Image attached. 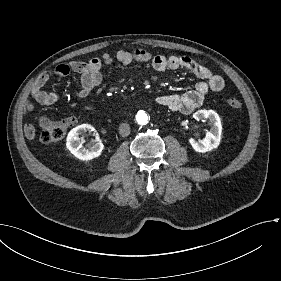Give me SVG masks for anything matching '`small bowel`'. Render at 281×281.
<instances>
[{
	"instance_id": "obj_1",
	"label": "small bowel",
	"mask_w": 281,
	"mask_h": 281,
	"mask_svg": "<svg viewBox=\"0 0 281 281\" xmlns=\"http://www.w3.org/2000/svg\"><path fill=\"white\" fill-rule=\"evenodd\" d=\"M115 61L123 65H129L134 62L148 63L157 72L186 69L193 73L199 80L195 83L192 90L183 94H160L156 97L157 104L173 112L191 113L203 103L209 92H220L225 86V81L221 75L198 64L187 56L167 57L153 55L142 49L134 51L122 49L115 55L105 53L101 57L93 58L87 62L72 61L69 65L61 64L56 67L55 74L65 77L70 72L77 73L81 78V88L76 93V97L86 98L101 83L103 66L111 65ZM50 77V72L41 74L31 90L32 98L42 105H52L60 99L58 93L44 89ZM33 110V101L29 100L25 105V116H29ZM41 124L42 126H47L50 124V121L43 119ZM33 130L34 127L31 124H26L23 133L24 138L27 140L33 139L35 136V130Z\"/></svg>"
}]
</instances>
